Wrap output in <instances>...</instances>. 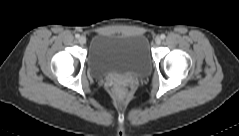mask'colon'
<instances>
[{
  "mask_svg": "<svg viewBox=\"0 0 239 136\" xmlns=\"http://www.w3.org/2000/svg\"><path fill=\"white\" fill-rule=\"evenodd\" d=\"M127 84L122 81H116L112 84V93L117 98H123L126 96L127 93Z\"/></svg>",
  "mask_w": 239,
  "mask_h": 136,
  "instance_id": "1",
  "label": "colon"
}]
</instances>
